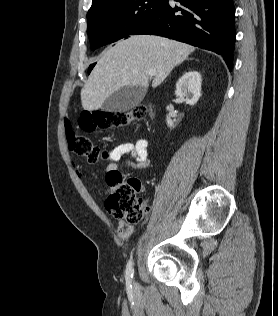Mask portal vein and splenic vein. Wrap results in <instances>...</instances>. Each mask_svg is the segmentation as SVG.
<instances>
[{
  "instance_id": "obj_1",
  "label": "portal vein and splenic vein",
  "mask_w": 278,
  "mask_h": 316,
  "mask_svg": "<svg viewBox=\"0 0 278 316\" xmlns=\"http://www.w3.org/2000/svg\"><path fill=\"white\" fill-rule=\"evenodd\" d=\"M147 74L150 76H154V75H156V71L155 70H148Z\"/></svg>"
}]
</instances>
